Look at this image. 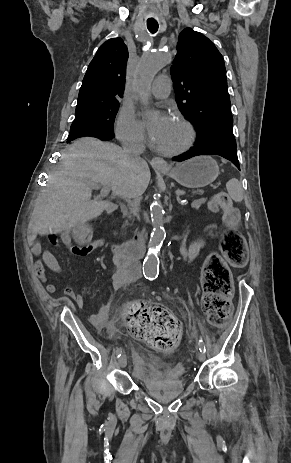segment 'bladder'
Wrapping results in <instances>:
<instances>
[{
    "label": "bladder",
    "instance_id": "31cf9c89",
    "mask_svg": "<svg viewBox=\"0 0 291 463\" xmlns=\"http://www.w3.org/2000/svg\"><path fill=\"white\" fill-rule=\"evenodd\" d=\"M137 362L140 364V365H144L147 363V358L142 354L141 351H137ZM158 379L157 376L155 375H149V374H145L144 376L142 377H139V381L145 385V386H155L156 385V380ZM171 385L173 386H177V387H182L184 385V381L181 380V379H176L174 380L173 382L170 383Z\"/></svg>",
    "mask_w": 291,
    "mask_h": 463
}]
</instances>
